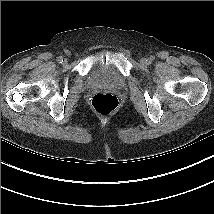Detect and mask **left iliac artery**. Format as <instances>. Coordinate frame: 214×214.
I'll list each match as a JSON object with an SVG mask.
<instances>
[{
    "instance_id": "44dca946",
    "label": "left iliac artery",
    "mask_w": 214,
    "mask_h": 214,
    "mask_svg": "<svg viewBox=\"0 0 214 214\" xmlns=\"http://www.w3.org/2000/svg\"><path fill=\"white\" fill-rule=\"evenodd\" d=\"M153 60H154V57L151 56L150 59H149V63L152 62Z\"/></svg>"
}]
</instances>
